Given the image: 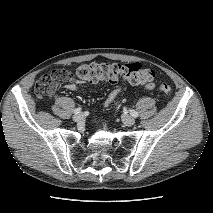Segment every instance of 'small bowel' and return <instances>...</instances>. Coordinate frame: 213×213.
Segmentation results:
<instances>
[{
    "instance_id": "1",
    "label": "small bowel",
    "mask_w": 213,
    "mask_h": 213,
    "mask_svg": "<svg viewBox=\"0 0 213 213\" xmlns=\"http://www.w3.org/2000/svg\"><path fill=\"white\" fill-rule=\"evenodd\" d=\"M65 88L68 89V90H70V91H76V90H78V83L76 81H74V80H70V81H68L65 84ZM55 89H56V84L52 83L48 87L46 93L49 94V95H52L54 93Z\"/></svg>"
}]
</instances>
